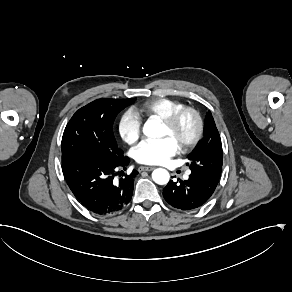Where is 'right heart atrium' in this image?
Returning <instances> with one entry per match:
<instances>
[{"instance_id": "1", "label": "right heart atrium", "mask_w": 292, "mask_h": 292, "mask_svg": "<svg viewBox=\"0 0 292 292\" xmlns=\"http://www.w3.org/2000/svg\"><path fill=\"white\" fill-rule=\"evenodd\" d=\"M118 134L129 145H134L140 139L142 119L134 108H127L121 113L118 120Z\"/></svg>"}]
</instances>
